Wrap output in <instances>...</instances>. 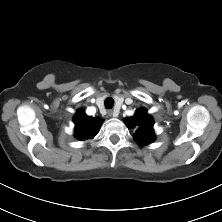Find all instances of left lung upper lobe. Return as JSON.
<instances>
[{"label":"left lung upper lobe","instance_id":"1","mask_svg":"<svg viewBox=\"0 0 222 222\" xmlns=\"http://www.w3.org/2000/svg\"><path fill=\"white\" fill-rule=\"evenodd\" d=\"M128 128H136L134 139L141 145L152 143L155 139L153 134V118L147 114L145 109H140L135 116L124 119Z\"/></svg>","mask_w":222,"mask_h":222}]
</instances>
